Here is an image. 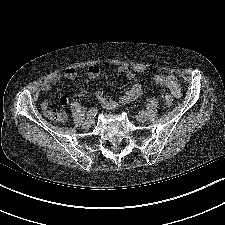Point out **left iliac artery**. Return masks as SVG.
<instances>
[{"instance_id": "44dca946", "label": "left iliac artery", "mask_w": 225, "mask_h": 225, "mask_svg": "<svg viewBox=\"0 0 225 225\" xmlns=\"http://www.w3.org/2000/svg\"><path fill=\"white\" fill-rule=\"evenodd\" d=\"M148 112H149L148 109L144 108V109H142L141 114L146 115V114H148Z\"/></svg>"}]
</instances>
